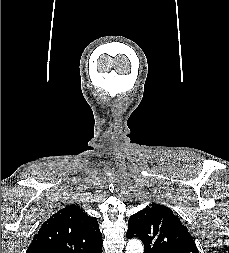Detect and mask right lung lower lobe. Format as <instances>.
<instances>
[{
  "mask_svg": "<svg viewBox=\"0 0 229 253\" xmlns=\"http://www.w3.org/2000/svg\"><path fill=\"white\" fill-rule=\"evenodd\" d=\"M96 253H102V248L99 251H97Z\"/></svg>",
  "mask_w": 229,
  "mask_h": 253,
  "instance_id": "1",
  "label": "right lung lower lobe"
}]
</instances>
